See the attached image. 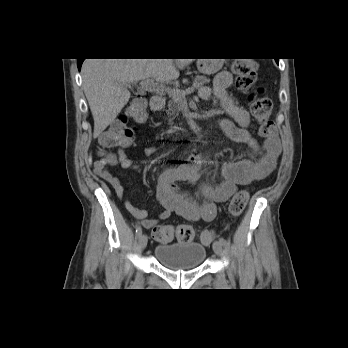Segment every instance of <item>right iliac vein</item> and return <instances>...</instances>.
Wrapping results in <instances>:
<instances>
[{
	"instance_id": "right-iliac-vein-1",
	"label": "right iliac vein",
	"mask_w": 348,
	"mask_h": 348,
	"mask_svg": "<svg viewBox=\"0 0 348 348\" xmlns=\"http://www.w3.org/2000/svg\"><path fill=\"white\" fill-rule=\"evenodd\" d=\"M148 238L145 234L139 237V247L141 250H144L147 246Z\"/></svg>"
}]
</instances>
